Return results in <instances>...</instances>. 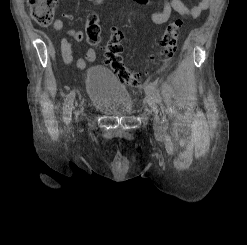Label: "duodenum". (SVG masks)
<instances>
[{"instance_id":"410a0bca","label":"duodenum","mask_w":247,"mask_h":245,"mask_svg":"<svg viewBox=\"0 0 247 245\" xmlns=\"http://www.w3.org/2000/svg\"><path fill=\"white\" fill-rule=\"evenodd\" d=\"M98 3L102 2L103 0H96Z\"/></svg>"}]
</instances>
